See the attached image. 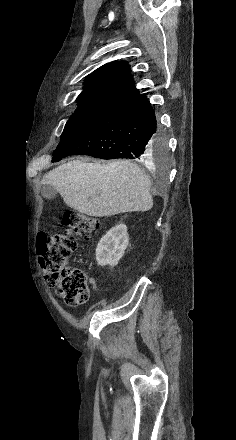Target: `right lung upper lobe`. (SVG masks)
Listing matches in <instances>:
<instances>
[{
	"instance_id": "cb5924a9",
	"label": "right lung upper lobe",
	"mask_w": 236,
	"mask_h": 440,
	"mask_svg": "<svg viewBox=\"0 0 236 440\" xmlns=\"http://www.w3.org/2000/svg\"><path fill=\"white\" fill-rule=\"evenodd\" d=\"M139 94L129 64L126 61H114L101 66L86 78L77 100L79 103L115 108Z\"/></svg>"
}]
</instances>
